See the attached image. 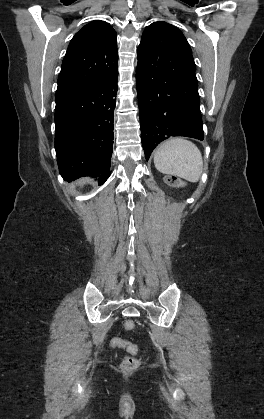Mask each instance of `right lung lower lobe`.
<instances>
[{"instance_id": "obj_1", "label": "right lung lower lobe", "mask_w": 264, "mask_h": 419, "mask_svg": "<svg viewBox=\"0 0 264 419\" xmlns=\"http://www.w3.org/2000/svg\"><path fill=\"white\" fill-rule=\"evenodd\" d=\"M118 72L99 83L56 93L55 149L59 171L70 182L110 176Z\"/></svg>"}]
</instances>
